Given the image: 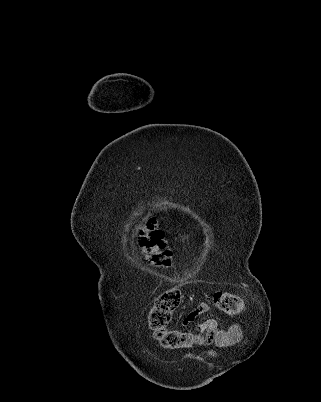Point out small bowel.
<instances>
[{
  "label": "small bowel",
  "mask_w": 321,
  "mask_h": 402,
  "mask_svg": "<svg viewBox=\"0 0 321 402\" xmlns=\"http://www.w3.org/2000/svg\"><path fill=\"white\" fill-rule=\"evenodd\" d=\"M210 311L207 303H199L193 310L189 312L183 325H188L193 322L196 317L206 314ZM232 328L221 326L216 320L210 319L198 324L197 328L203 331L206 335L207 342L214 344L216 348H224L236 344L238 341L239 329L243 327V322L240 320H233L231 323ZM212 355L216 352L214 349L210 350Z\"/></svg>",
  "instance_id": "1"
}]
</instances>
